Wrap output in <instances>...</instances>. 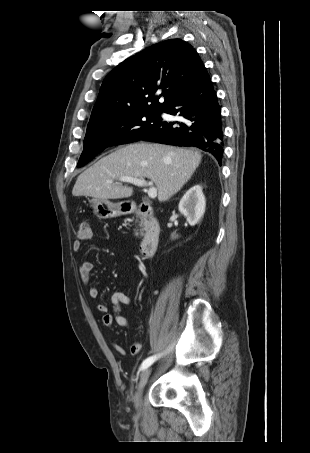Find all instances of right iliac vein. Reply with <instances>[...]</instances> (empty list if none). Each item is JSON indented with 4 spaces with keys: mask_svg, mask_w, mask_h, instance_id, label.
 Returning <instances> with one entry per match:
<instances>
[{
    "mask_svg": "<svg viewBox=\"0 0 310 453\" xmlns=\"http://www.w3.org/2000/svg\"><path fill=\"white\" fill-rule=\"evenodd\" d=\"M151 371H152L151 368H146L141 374L140 381H139V384H138V387H137V391L135 393V406H136L137 409L141 405V399H142L143 390H144V388L146 386V383H147V381L149 379Z\"/></svg>",
    "mask_w": 310,
    "mask_h": 453,
    "instance_id": "1",
    "label": "right iliac vein"
}]
</instances>
